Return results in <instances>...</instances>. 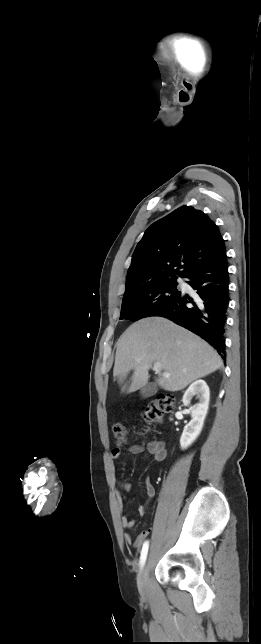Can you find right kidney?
Instances as JSON below:
<instances>
[{"mask_svg": "<svg viewBox=\"0 0 261 644\" xmlns=\"http://www.w3.org/2000/svg\"><path fill=\"white\" fill-rule=\"evenodd\" d=\"M194 395H197L199 403L190 408L192 420L184 427L180 438L182 449L189 447L199 436L203 428L210 399L209 387L204 380H197L189 386L182 399L184 405H189Z\"/></svg>", "mask_w": 261, "mask_h": 644, "instance_id": "right-kidney-1", "label": "right kidney"}]
</instances>
